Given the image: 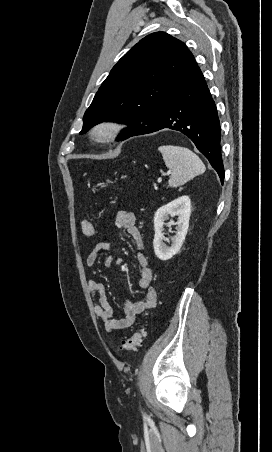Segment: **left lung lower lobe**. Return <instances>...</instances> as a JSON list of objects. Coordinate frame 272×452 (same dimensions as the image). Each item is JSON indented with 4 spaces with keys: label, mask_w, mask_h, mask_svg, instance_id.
I'll return each mask as SVG.
<instances>
[{
    "label": "left lung lower lobe",
    "mask_w": 272,
    "mask_h": 452,
    "mask_svg": "<svg viewBox=\"0 0 272 452\" xmlns=\"http://www.w3.org/2000/svg\"><path fill=\"white\" fill-rule=\"evenodd\" d=\"M163 128L186 134L209 160L223 183L224 167L220 150L221 134L217 109L204 76L195 61L169 96L159 120L153 126L136 130L120 140Z\"/></svg>",
    "instance_id": "0a47b994"
}]
</instances>
